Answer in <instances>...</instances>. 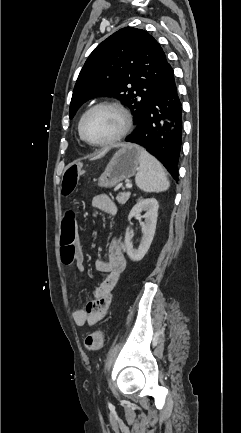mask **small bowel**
I'll use <instances>...</instances> for the list:
<instances>
[{
  "mask_svg": "<svg viewBox=\"0 0 241 433\" xmlns=\"http://www.w3.org/2000/svg\"><path fill=\"white\" fill-rule=\"evenodd\" d=\"M92 206L95 210L108 215L116 213L114 202L106 194L95 195L92 200ZM75 264L79 270L82 271L84 269V254L82 249L75 253ZM125 267L126 261L121 246L117 240H112L108 247L107 260L98 259L95 261V269L100 273L107 274V276L94 290L93 299L87 302L84 307L74 310L72 317L76 325L93 326L107 315L112 302L113 290Z\"/></svg>",
  "mask_w": 241,
  "mask_h": 433,
  "instance_id": "1",
  "label": "small bowel"
}]
</instances>
